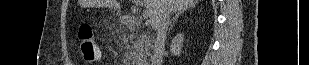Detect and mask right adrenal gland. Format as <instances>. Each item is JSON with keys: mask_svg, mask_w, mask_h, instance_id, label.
Segmentation results:
<instances>
[{"mask_svg": "<svg viewBox=\"0 0 309 65\" xmlns=\"http://www.w3.org/2000/svg\"><path fill=\"white\" fill-rule=\"evenodd\" d=\"M186 10L184 11H180L178 12L175 17L173 18V21L170 23V26H169V31H171L173 29V26H174V23L177 21V19L179 18L180 15H182L183 13H185Z\"/></svg>", "mask_w": 309, "mask_h": 65, "instance_id": "1", "label": "right adrenal gland"}]
</instances>
